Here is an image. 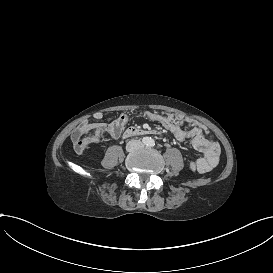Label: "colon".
Returning a JSON list of instances; mask_svg holds the SVG:
<instances>
[{
  "mask_svg": "<svg viewBox=\"0 0 273 273\" xmlns=\"http://www.w3.org/2000/svg\"><path fill=\"white\" fill-rule=\"evenodd\" d=\"M87 129L83 125H77L73 129L71 145L79 152H85L89 148V143L84 139Z\"/></svg>",
  "mask_w": 273,
  "mask_h": 273,
  "instance_id": "5ec220e1",
  "label": "colon"
}]
</instances>
